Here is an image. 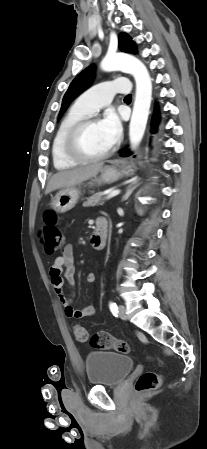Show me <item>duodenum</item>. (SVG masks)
Wrapping results in <instances>:
<instances>
[{"mask_svg": "<svg viewBox=\"0 0 207 449\" xmlns=\"http://www.w3.org/2000/svg\"><path fill=\"white\" fill-rule=\"evenodd\" d=\"M108 235V221L106 218L96 220L95 229L91 235V244L94 249L102 250L106 246Z\"/></svg>", "mask_w": 207, "mask_h": 449, "instance_id": "410a0bca", "label": "duodenum"}]
</instances>
